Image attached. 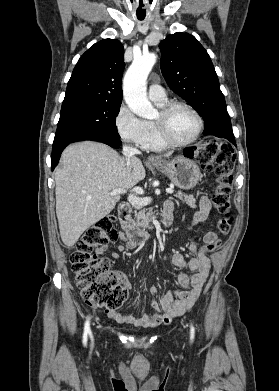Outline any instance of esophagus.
<instances>
[{"instance_id": "1", "label": "esophagus", "mask_w": 279, "mask_h": 391, "mask_svg": "<svg viewBox=\"0 0 279 391\" xmlns=\"http://www.w3.org/2000/svg\"><path fill=\"white\" fill-rule=\"evenodd\" d=\"M158 159L156 158V157H154V156H149L148 157V161H150V162H155V161H157Z\"/></svg>"}]
</instances>
